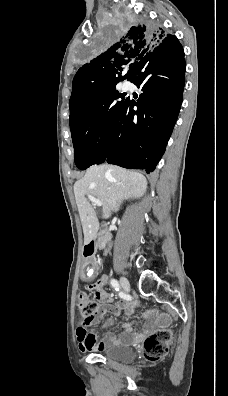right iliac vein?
I'll use <instances>...</instances> for the list:
<instances>
[{
    "instance_id": "63e3f726",
    "label": "right iliac vein",
    "mask_w": 228,
    "mask_h": 396,
    "mask_svg": "<svg viewBox=\"0 0 228 396\" xmlns=\"http://www.w3.org/2000/svg\"><path fill=\"white\" fill-rule=\"evenodd\" d=\"M120 284H121L122 288L124 289V291L128 292L130 290V283L126 277L122 276L120 278Z\"/></svg>"
}]
</instances>
